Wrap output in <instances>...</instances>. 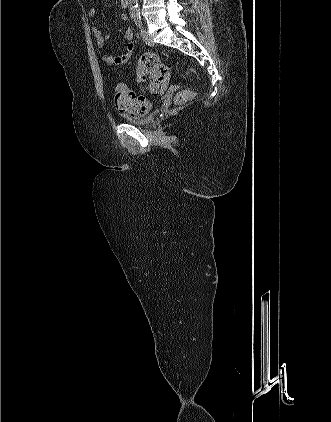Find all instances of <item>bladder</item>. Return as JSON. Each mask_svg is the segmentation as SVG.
<instances>
[{"label": "bladder", "mask_w": 331, "mask_h": 422, "mask_svg": "<svg viewBox=\"0 0 331 422\" xmlns=\"http://www.w3.org/2000/svg\"><path fill=\"white\" fill-rule=\"evenodd\" d=\"M121 118L128 124L135 125V126H151L155 119L156 114L154 112H150L146 115L135 117L128 114H122Z\"/></svg>", "instance_id": "1"}]
</instances>
